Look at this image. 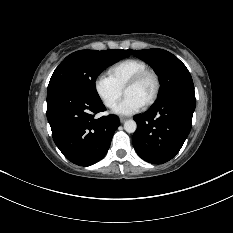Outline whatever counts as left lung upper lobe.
Wrapping results in <instances>:
<instances>
[{
  "label": "left lung upper lobe",
  "instance_id": "left-lung-upper-lobe-1",
  "mask_svg": "<svg viewBox=\"0 0 233 233\" xmlns=\"http://www.w3.org/2000/svg\"><path fill=\"white\" fill-rule=\"evenodd\" d=\"M154 67L161 89L158 102L186 97L195 100L194 85L186 66L173 54L162 49L128 50Z\"/></svg>",
  "mask_w": 233,
  "mask_h": 233
}]
</instances>
